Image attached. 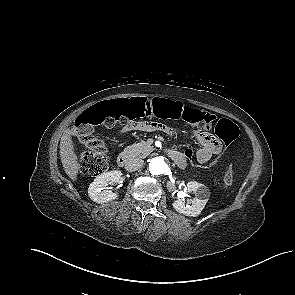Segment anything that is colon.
I'll return each instance as SVG.
<instances>
[{
  "label": "colon",
  "mask_w": 295,
  "mask_h": 295,
  "mask_svg": "<svg viewBox=\"0 0 295 295\" xmlns=\"http://www.w3.org/2000/svg\"><path fill=\"white\" fill-rule=\"evenodd\" d=\"M144 116L183 120L200 130L211 129L215 122V117L210 113L166 99L147 100L138 98L97 104L80 114L73 127L75 136L86 147V150L79 156L81 171L89 176H98L108 168L107 149L104 143L94 135V127L96 125H104L106 127H113L118 124L126 125L135 122L136 118ZM155 125L160 130H164L161 124L155 123ZM214 130L223 142L220 152L209 162L204 164L198 162L194 158L195 149H191L189 146L184 150L185 158L195 169H211L226 155L229 150V143L239 136V128L228 119L218 120ZM233 178L234 171L230 166L224 173L223 187H230L233 183Z\"/></svg>",
  "instance_id": "1"
}]
</instances>
